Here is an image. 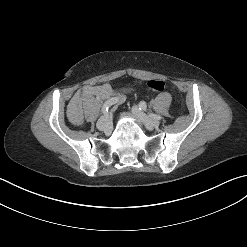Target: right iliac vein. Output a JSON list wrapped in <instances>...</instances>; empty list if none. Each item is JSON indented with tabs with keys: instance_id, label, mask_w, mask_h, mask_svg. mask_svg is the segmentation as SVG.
<instances>
[{
	"instance_id": "right-iliac-vein-1",
	"label": "right iliac vein",
	"mask_w": 247,
	"mask_h": 247,
	"mask_svg": "<svg viewBox=\"0 0 247 247\" xmlns=\"http://www.w3.org/2000/svg\"><path fill=\"white\" fill-rule=\"evenodd\" d=\"M97 128L104 132H109L111 130V121L109 114H105L98 122Z\"/></svg>"
}]
</instances>
